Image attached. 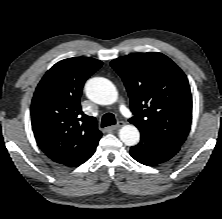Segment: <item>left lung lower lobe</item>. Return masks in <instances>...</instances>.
Masks as SVG:
<instances>
[{"mask_svg":"<svg viewBox=\"0 0 222 219\" xmlns=\"http://www.w3.org/2000/svg\"><path fill=\"white\" fill-rule=\"evenodd\" d=\"M141 140L138 145L130 148V155L138 162L154 166L172 158L180 149V145L152 135L140 132Z\"/></svg>","mask_w":222,"mask_h":219,"instance_id":"0a47b994","label":"left lung lower lobe"}]
</instances>
